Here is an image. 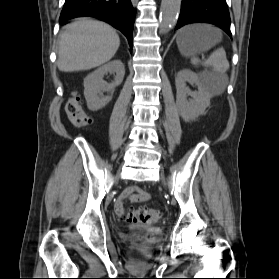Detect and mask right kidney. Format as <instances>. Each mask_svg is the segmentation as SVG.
<instances>
[{
  "label": "right kidney",
  "instance_id": "1",
  "mask_svg": "<svg viewBox=\"0 0 279 279\" xmlns=\"http://www.w3.org/2000/svg\"><path fill=\"white\" fill-rule=\"evenodd\" d=\"M107 73H115L114 81L110 84L103 80ZM125 66L121 60H113L99 67L84 79V96L87 107L91 111H97L105 107L112 96H101L102 92L113 93L115 87L124 79Z\"/></svg>",
  "mask_w": 279,
  "mask_h": 279
}]
</instances>
